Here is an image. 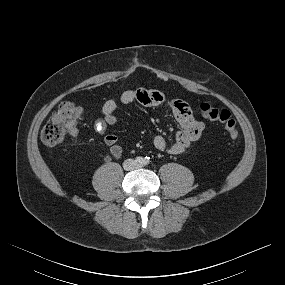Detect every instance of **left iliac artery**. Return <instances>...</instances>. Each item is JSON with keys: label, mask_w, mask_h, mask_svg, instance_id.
Instances as JSON below:
<instances>
[{"label": "left iliac artery", "mask_w": 285, "mask_h": 285, "mask_svg": "<svg viewBox=\"0 0 285 285\" xmlns=\"http://www.w3.org/2000/svg\"><path fill=\"white\" fill-rule=\"evenodd\" d=\"M150 163V158L149 157H145L143 160V164L144 165H148Z\"/></svg>", "instance_id": "left-iliac-artery-1"}]
</instances>
